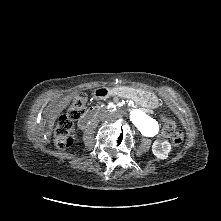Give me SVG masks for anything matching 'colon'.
<instances>
[{
  "label": "colon",
  "instance_id": "1",
  "mask_svg": "<svg viewBox=\"0 0 221 221\" xmlns=\"http://www.w3.org/2000/svg\"><path fill=\"white\" fill-rule=\"evenodd\" d=\"M88 101L85 94H77L68 99V108L65 114H62L56 124L54 131V142L57 147L65 149L71 146L73 142V123L78 118ZM163 136L170 138L173 146H179L183 142V131L176 124L162 115Z\"/></svg>",
  "mask_w": 221,
  "mask_h": 221
}]
</instances>
